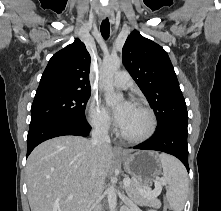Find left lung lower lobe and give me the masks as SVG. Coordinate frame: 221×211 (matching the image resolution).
Here are the masks:
<instances>
[{"mask_svg": "<svg viewBox=\"0 0 221 211\" xmlns=\"http://www.w3.org/2000/svg\"><path fill=\"white\" fill-rule=\"evenodd\" d=\"M187 133V120L174 121L157 129L149 140L133 148L162 151L174 155L189 172Z\"/></svg>", "mask_w": 221, "mask_h": 211, "instance_id": "left-lung-lower-lobe-1", "label": "left lung lower lobe"}]
</instances>
